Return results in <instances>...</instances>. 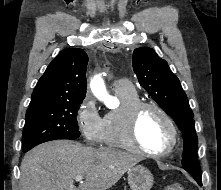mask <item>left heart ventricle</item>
Wrapping results in <instances>:
<instances>
[{
  "mask_svg": "<svg viewBox=\"0 0 221 190\" xmlns=\"http://www.w3.org/2000/svg\"><path fill=\"white\" fill-rule=\"evenodd\" d=\"M137 137L146 149L161 151L171 141V132L164 118L154 109L146 108L138 119Z\"/></svg>",
  "mask_w": 221,
  "mask_h": 190,
  "instance_id": "1",
  "label": "left heart ventricle"
}]
</instances>
